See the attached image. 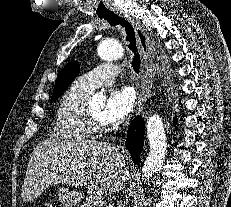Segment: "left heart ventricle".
<instances>
[{"instance_id": "obj_1", "label": "left heart ventricle", "mask_w": 231, "mask_h": 207, "mask_svg": "<svg viewBox=\"0 0 231 207\" xmlns=\"http://www.w3.org/2000/svg\"><path fill=\"white\" fill-rule=\"evenodd\" d=\"M104 105L103 104H99V105H95L93 107H91L88 112L89 114L100 121H103L102 116H103V112H104Z\"/></svg>"}]
</instances>
